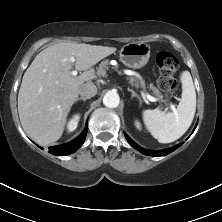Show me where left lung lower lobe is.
Here are the masks:
<instances>
[{
	"label": "left lung lower lobe",
	"mask_w": 222,
	"mask_h": 222,
	"mask_svg": "<svg viewBox=\"0 0 222 222\" xmlns=\"http://www.w3.org/2000/svg\"><path fill=\"white\" fill-rule=\"evenodd\" d=\"M126 139L128 140L129 144L134 147L135 149H138V151H140L141 153L148 155V156H165L171 152H173L174 150H176L178 147H180L182 145L178 144L176 146H173L171 148L168 149H164V150H160V151H153V150H146L141 148L139 145H137L130 137H128L127 135H125Z\"/></svg>",
	"instance_id": "left-lung-lower-lobe-1"
}]
</instances>
